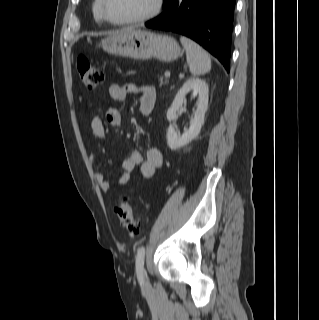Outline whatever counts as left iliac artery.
<instances>
[{
  "instance_id": "obj_1",
  "label": "left iliac artery",
  "mask_w": 319,
  "mask_h": 320,
  "mask_svg": "<svg viewBox=\"0 0 319 320\" xmlns=\"http://www.w3.org/2000/svg\"><path fill=\"white\" fill-rule=\"evenodd\" d=\"M144 257H145V247L141 246L138 248L137 255H136V274L140 283H143Z\"/></svg>"
}]
</instances>
